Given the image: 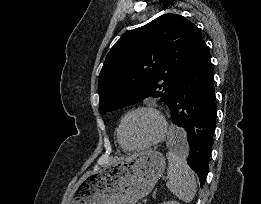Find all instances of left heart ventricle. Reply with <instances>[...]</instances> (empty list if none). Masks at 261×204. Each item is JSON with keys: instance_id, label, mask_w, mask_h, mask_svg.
<instances>
[{"instance_id": "1", "label": "left heart ventricle", "mask_w": 261, "mask_h": 204, "mask_svg": "<svg viewBox=\"0 0 261 204\" xmlns=\"http://www.w3.org/2000/svg\"><path fill=\"white\" fill-rule=\"evenodd\" d=\"M159 130L157 119L150 113H138L124 124L122 137L129 146L142 145L154 138Z\"/></svg>"}]
</instances>
